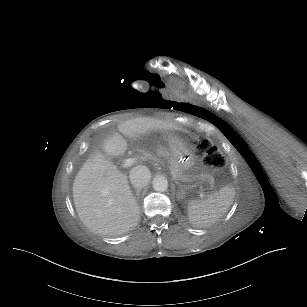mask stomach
Listing matches in <instances>:
<instances>
[{
	"instance_id": "stomach-1",
	"label": "stomach",
	"mask_w": 307,
	"mask_h": 307,
	"mask_svg": "<svg viewBox=\"0 0 307 307\" xmlns=\"http://www.w3.org/2000/svg\"><path fill=\"white\" fill-rule=\"evenodd\" d=\"M172 160L178 169L176 179L182 182H193L198 178L195 169V147L187 137L174 136L171 138Z\"/></svg>"
}]
</instances>
